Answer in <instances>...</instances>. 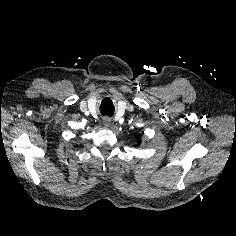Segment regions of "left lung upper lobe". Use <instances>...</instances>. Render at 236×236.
<instances>
[{
	"instance_id": "left-lung-upper-lobe-1",
	"label": "left lung upper lobe",
	"mask_w": 236,
	"mask_h": 236,
	"mask_svg": "<svg viewBox=\"0 0 236 236\" xmlns=\"http://www.w3.org/2000/svg\"><path fill=\"white\" fill-rule=\"evenodd\" d=\"M138 144H140V140H138Z\"/></svg>"
}]
</instances>
